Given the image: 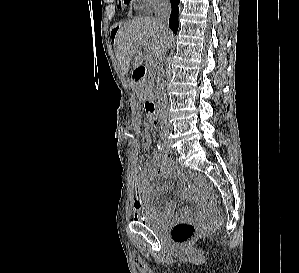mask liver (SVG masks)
Instances as JSON below:
<instances>
[{"label": "liver", "mask_w": 299, "mask_h": 273, "mask_svg": "<svg viewBox=\"0 0 299 273\" xmlns=\"http://www.w3.org/2000/svg\"><path fill=\"white\" fill-rule=\"evenodd\" d=\"M172 39L171 31H163L153 17H138L120 24L114 50L123 74H128L130 65L135 69L143 64L144 55L139 51L143 43L147 45V57L158 60ZM130 84L134 82L131 80Z\"/></svg>", "instance_id": "liver-1"}]
</instances>
